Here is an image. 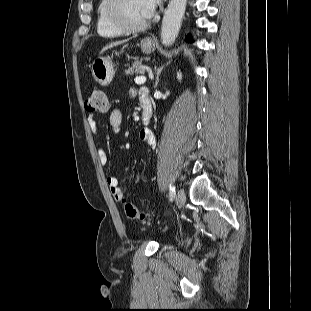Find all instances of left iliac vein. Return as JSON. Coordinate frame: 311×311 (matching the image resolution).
Masks as SVG:
<instances>
[{
	"label": "left iliac vein",
	"instance_id": "obj_1",
	"mask_svg": "<svg viewBox=\"0 0 311 311\" xmlns=\"http://www.w3.org/2000/svg\"><path fill=\"white\" fill-rule=\"evenodd\" d=\"M186 201V195H185V192L184 190L182 189H179L177 191V194H176V203H177V206L180 208L184 205Z\"/></svg>",
	"mask_w": 311,
	"mask_h": 311
}]
</instances>
